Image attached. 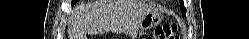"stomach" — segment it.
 Instances as JSON below:
<instances>
[{
	"instance_id": "1",
	"label": "stomach",
	"mask_w": 249,
	"mask_h": 39,
	"mask_svg": "<svg viewBox=\"0 0 249 39\" xmlns=\"http://www.w3.org/2000/svg\"><path fill=\"white\" fill-rule=\"evenodd\" d=\"M162 21V16L157 12H149L140 21V29L148 30Z\"/></svg>"
}]
</instances>
